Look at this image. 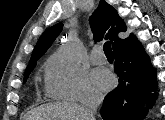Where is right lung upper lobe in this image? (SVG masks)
I'll return each instance as SVG.
<instances>
[{
    "label": "right lung upper lobe",
    "mask_w": 165,
    "mask_h": 120,
    "mask_svg": "<svg viewBox=\"0 0 165 120\" xmlns=\"http://www.w3.org/2000/svg\"><path fill=\"white\" fill-rule=\"evenodd\" d=\"M89 22L94 35V40L100 41L106 34L105 37L111 40L113 50L120 44H123L134 37L133 35H130L129 38H125L127 29L124 21L118 15L117 11L104 0L100 1L98 9L90 17ZM62 28L63 24L57 23L41 35L33 50L27 68L35 63L47 51L61 32Z\"/></svg>",
    "instance_id": "obj_1"
}]
</instances>
